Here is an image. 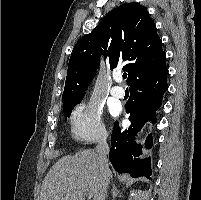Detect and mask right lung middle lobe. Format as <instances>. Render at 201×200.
Segmentation results:
<instances>
[{
  "label": "right lung middle lobe",
  "instance_id": "1",
  "mask_svg": "<svg viewBox=\"0 0 201 200\" xmlns=\"http://www.w3.org/2000/svg\"><path fill=\"white\" fill-rule=\"evenodd\" d=\"M83 98L71 99L63 101L65 118L69 117L73 108L82 101Z\"/></svg>",
  "mask_w": 201,
  "mask_h": 200
}]
</instances>
